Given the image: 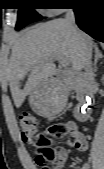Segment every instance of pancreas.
<instances>
[{
  "label": "pancreas",
  "instance_id": "cf45deb5",
  "mask_svg": "<svg viewBox=\"0 0 104 169\" xmlns=\"http://www.w3.org/2000/svg\"><path fill=\"white\" fill-rule=\"evenodd\" d=\"M64 83H65V87L72 88L73 86V80L71 78H66L64 80Z\"/></svg>",
  "mask_w": 104,
  "mask_h": 169
}]
</instances>
